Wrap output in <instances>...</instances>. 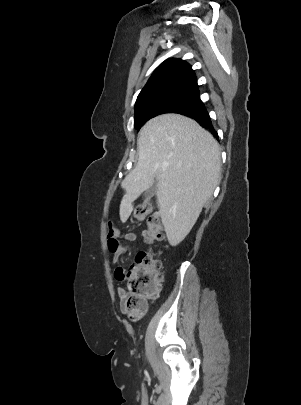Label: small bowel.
Returning <instances> with one entry per match:
<instances>
[{"label": "small bowel", "mask_w": 301, "mask_h": 405, "mask_svg": "<svg viewBox=\"0 0 301 405\" xmlns=\"http://www.w3.org/2000/svg\"><path fill=\"white\" fill-rule=\"evenodd\" d=\"M123 239L125 241L135 242L137 240V236L134 233H126L123 236ZM125 252H126V248L123 245H121L119 243V241H118L117 248L112 252L113 253V258H112L113 262H117L118 259L120 258V256L123 255ZM114 275H115V278L117 280H119V281L125 280L126 279V270H125V268L122 267V266H118L115 269ZM117 293H118V296L120 297V300H122V298L125 295V289L123 287H119L117 289Z\"/></svg>", "instance_id": "c3829d8e"}]
</instances>
